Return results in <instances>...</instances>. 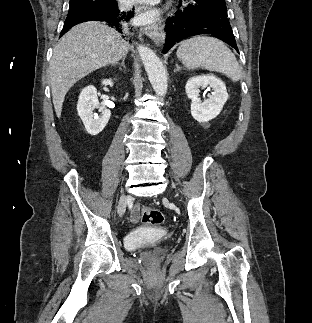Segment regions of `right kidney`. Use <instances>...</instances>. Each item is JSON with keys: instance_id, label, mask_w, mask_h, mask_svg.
I'll use <instances>...</instances> for the list:
<instances>
[{"instance_id": "obj_1", "label": "right kidney", "mask_w": 312, "mask_h": 323, "mask_svg": "<svg viewBox=\"0 0 312 323\" xmlns=\"http://www.w3.org/2000/svg\"><path fill=\"white\" fill-rule=\"evenodd\" d=\"M102 84L103 86H113L112 80H103ZM95 108H99L100 116L94 114ZM77 112L86 128V132L90 136L100 134L105 126H107L111 116L110 110L100 108L97 90L94 86H86L82 90L77 102Z\"/></svg>"}]
</instances>
